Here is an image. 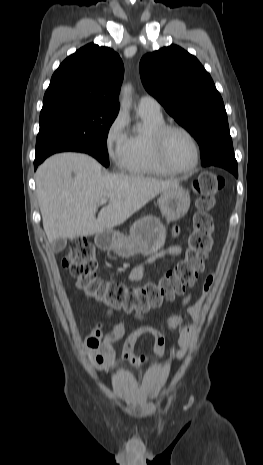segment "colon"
<instances>
[{
  "mask_svg": "<svg viewBox=\"0 0 263 465\" xmlns=\"http://www.w3.org/2000/svg\"><path fill=\"white\" fill-rule=\"evenodd\" d=\"M224 185L223 177L214 173H202L195 179L193 190L197 196L198 210L193 217V231L188 238L185 256L157 281L130 287L121 282L101 279L97 274L99 262L95 249L81 238L70 243L63 265L69 268L81 290L112 307L145 313L165 301L173 300L196 282L212 248L215 224L210 210ZM182 322L180 317L174 319L176 326ZM87 343L89 346L95 345L98 339L91 336Z\"/></svg>",
  "mask_w": 263,
  "mask_h": 465,
  "instance_id": "5ec220e1",
  "label": "colon"
}]
</instances>
